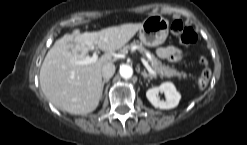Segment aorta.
Here are the masks:
<instances>
[{
  "instance_id": "obj_1",
  "label": "aorta",
  "mask_w": 247,
  "mask_h": 145,
  "mask_svg": "<svg viewBox=\"0 0 247 145\" xmlns=\"http://www.w3.org/2000/svg\"><path fill=\"white\" fill-rule=\"evenodd\" d=\"M119 72H120L121 77L124 79H129L133 75V69L129 65H122L120 67Z\"/></svg>"
}]
</instances>
